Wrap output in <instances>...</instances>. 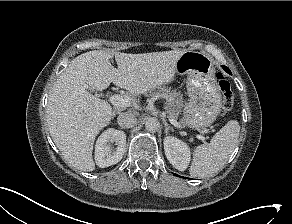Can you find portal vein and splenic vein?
Returning a JSON list of instances; mask_svg holds the SVG:
<instances>
[{
    "label": "portal vein and splenic vein",
    "mask_w": 292,
    "mask_h": 224,
    "mask_svg": "<svg viewBox=\"0 0 292 224\" xmlns=\"http://www.w3.org/2000/svg\"><path fill=\"white\" fill-rule=\"evenodd\" d=\"M109 101L112 105H114L116 107L126 108V107H129L131 105L133 100L129 96L113 95V96H110ZM168 120L175 127H177V128L180 127V125L178 124V122L175 119L168 117ZM197 138L202 140V141H205V138L201 135H198Z\"/></svg>",
    "instance_id": "obj_1"
}]
</instances>
